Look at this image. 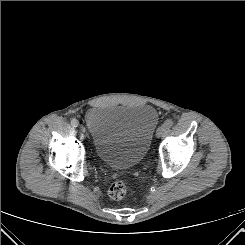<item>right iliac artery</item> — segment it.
Segmentation results:
<instances>
[{
	"label": "right iliac artery",
	"mask_w": 245,
	"mask_h": 245,
	"mask_svg": "<svg viewBox=\"0 0 245 245\" xmlns=\"http://www.w3.org/2000/svg\"><path fill=\"white\" fill-rule=\"evenodd\" d=\"M71 125H72V127H78V125H79L78 120L77 119H72L71 120Z\"/></svg>",
	"instance_id": "right-iliac-artery-1"
}]
</instances>
